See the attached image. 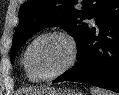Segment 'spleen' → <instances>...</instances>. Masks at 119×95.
Masks as SVG:
<instances>
[{
  "label": "spleen",
  "mask_w": 119,
  "mask_h": 95,
  "mask_svg": "<svg viewBox=\"0 0 119 95\" xmlns=\"http://www.w3.org/2000/svg\"><path fill=\"white\" fill-rule=\"evenodd\" d=\"M90 92H91V95H119V94H116L107 90H103L100 88H96V87H91Z\"/></svg>",
  "instance_id": "3e777b00"
}]
</instances>
